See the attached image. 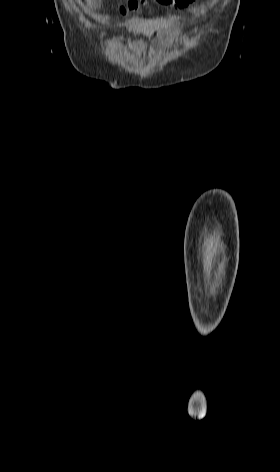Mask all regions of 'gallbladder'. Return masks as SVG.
Wrapping results in <instances>:
<instances>
[{
	"label": "gallbladder",
	"mask_w": 280,
	"mask_h": 472,
	"mask_svg": "<svg viewBox=\"0 0 280 472\" xmlns=\"http://www.w3.org/2000/svg\"><path fill=\"white\" fill-rule=\"evenodd\" d=\"M101 2H102V0H89L90 5L95 10L100 8Z\"/></svg>",
	"instance_id": "gallbladder-1"
}]
</instances>
